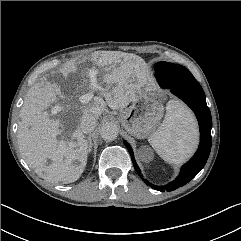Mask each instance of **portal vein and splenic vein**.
Instances as JSON below:
<instances>
[{
  "label": "portal vein and splenic vein",
  "mask_w": 241,
  "mask_h": 241,
  "mask_svg": "<svg viewBox=\"0 0 241 241\" xmlns=\"http://www.w3.org/2000/svg\"><path fill=\"white\" fill-rule=\"evenodd\" d=\"M94 87H97V86H94ZM92 96L91 95H86L82 98V102H86V101H89L91 100Z\"/></svg>",
  "instance_id": "1"
}]
</instances>
